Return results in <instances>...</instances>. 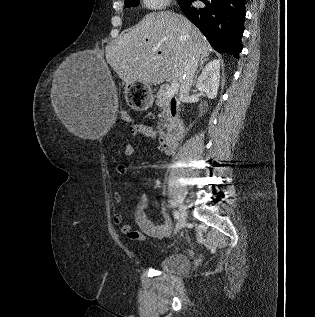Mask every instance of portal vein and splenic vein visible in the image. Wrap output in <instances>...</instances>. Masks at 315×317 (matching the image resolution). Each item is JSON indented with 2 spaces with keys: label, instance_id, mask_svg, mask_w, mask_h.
Returning <instances> with one entry per match:
<instances>
[{
  "label": "portal vein and splenic vein",
  "instance_id": "18ae733b",
  "mask_svg": "<svg viewBox=\"0 0 315 317\" xmlns=\"http://www.w3.org/2000/svg\"><path fill=\"white\" fill-rule=\"evenodd\" d=\"M178 87H179L178 82H173L167 89L166 93L168 97H171L172 95H174V93L178 90Z\"/></svg>",
  "mask_w": 315,
  "mask_h": 317
}]
</instances>
